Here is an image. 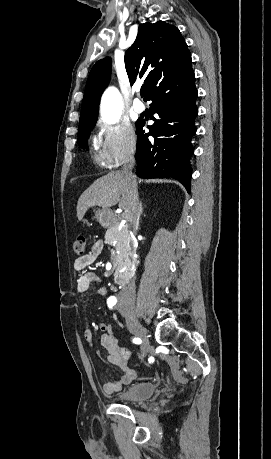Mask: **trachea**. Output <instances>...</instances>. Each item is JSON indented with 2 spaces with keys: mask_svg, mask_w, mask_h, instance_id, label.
<instances>
[{
  "mask_svg": "<svg viewBox=\"0 0 271 459\" xmlns=\"http://www.w3.org/2000/svg\"><path fill=\"white\" fill-rule=\"evenodd\" d=\"M146 95V88H141V97H145Z\"/></svg>",
  "mask_w": 271,
  "mask_h": 459,
  "instance_id": "obj_1",
  "label": "trachea"
}]
</instances>
